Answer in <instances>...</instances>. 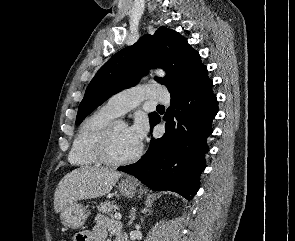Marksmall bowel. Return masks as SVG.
I'll list each match as a JSON object with an SVG mask.
<instances>
[{
    "label": "small bowel",
    "instance_id": "obj_1",
    "mask_svg": "<svg viewBox=\"0 0 295 241\" xmlns=\"http://www.w3.org/2000/svg\"><path fill=\"white\" fill-rule=\"evenodd\" d=\"M85 241H107L108 235L115 236V241H123V226L105 214H98L92 231L82 232Z\"/></svg>",
    "mask_w": 295,
    "mask_h": 241
}]
</instances>
